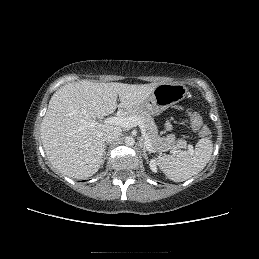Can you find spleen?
Returning a JSON list of instances; mask_svg holds the SVG:
<instances>
[{
	"label": "spleen",
	"instance_id": "3e777b00",
	"mask_svg": "<svg viewBox=\"0 0 259 259\" xmlns=\"http://www.w3.org/2000/svg\"><path fill=\"white\" fill-rule=\"evenodd\" d=\"M213 151L212 140L201 138L192 151H179L176 156L161 158L160 169L174 182H182L201 172L210 161Z\"/></svg>",
	"mask_w": 259,
	"mask_h": 259
}]
</instances>
